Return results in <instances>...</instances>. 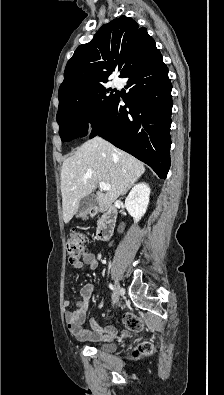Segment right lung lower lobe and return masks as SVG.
Segmentation results:
<instances>
[{"label": "right lung lower lobe", "instance_id": "right-lung-lower-lobe-1", "mask_svg": "<svg viewBox=\"0 0 224 395\" xmlns=\"http://www.w3.org/2000/svg\"><path fill=\"white\" fill-rule=\"evenodd\" d=\"M122 78L128 79L129 92L126 97L116 94L90 138L108 140L165 179L170 167L172 85L159 50L155 47L134 62Z\"/></svg>", "mask_w": 224, "mask_h": 395}]
</instances>
